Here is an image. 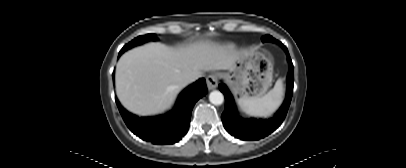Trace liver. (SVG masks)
I'll return each mask as SVG.
<instances>
[{
    "label": "liver",
    "mask_w": 406,
    "mask_h": 168,
    "mask_svg": "<svg viewBox=\"0 0 406 168\" xmlns=\"http://www.w3.org/2000/svg\"><path fill=\"white\" fill-rule=\"evenodd\" d=\"M241 52L209 40L173 48L152 42L121 56L116 66V93L122 105L141 115L169 109L185 86L188 74L210 70H231Z\"/></svg>",
    "instance_id": "6515ba94"
}]
</instances>
